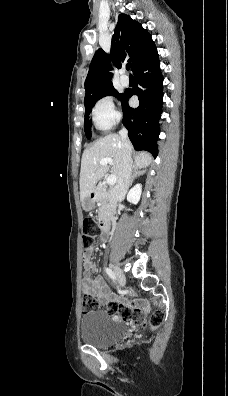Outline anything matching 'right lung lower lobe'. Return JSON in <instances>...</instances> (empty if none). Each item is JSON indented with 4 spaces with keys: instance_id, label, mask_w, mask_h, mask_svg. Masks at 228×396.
Wrapping results in <instances>:
<instances>
[{
    "instance_id": "98d812e1",
    "label": "right lung lower lobe",
    "mask_w": 228,
    "mask_h": 396,
    "mask_svg": "<svg viewBox=\"0 0 228 396\" xmlns=\"http://www.w3.org/2000/svg\"><path fill=\"white\" fill-rule=\"evenodd\" d=\"M136 86L125 91L121 99L123 124L137 151L146 150L155 157L158 154L157 138L160 133L159 119L162 113L163 77L156 46L134 71ZM137 95L139 106L132 108L128 100Z\"/></svg>"
}]
</instances>
